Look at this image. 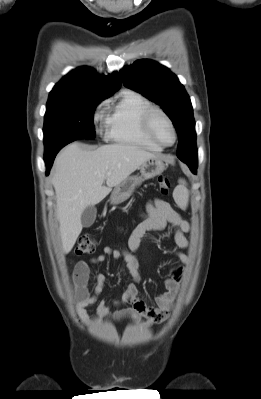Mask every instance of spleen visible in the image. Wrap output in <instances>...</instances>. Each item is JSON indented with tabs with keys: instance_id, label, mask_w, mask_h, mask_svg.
<instances>
[{
	"instance_id": "obj_1",
	"label": "spleen",
	"mask_w": 261,
	"mask_h": 399,
	"mask_svg": "<svg viewBox=\"0 0 261 399\" xmlns=\"http://www.w3.org/2000/svg\"><path fill=\"white\" fill-rule=\"evenodd\" d=\"M173 197L180 208L186 209L188 206L189 192L186 188V182L184 180H179V185L175 188Z\"/></svg>"
}]
</instances>
